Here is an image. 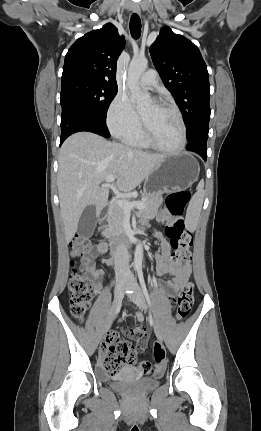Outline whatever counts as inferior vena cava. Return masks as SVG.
I'll list each match as a JSON object with an SVG mask.
<instances>
[{
	"label": "inferior vena cava",
	"instance_id": "obj_1",
	"mask_svg": "<svg viewBox=\"0 0 261 431\" xmlns=\"http://www.w3.org/2000/svg\"><path fill=\"white\" fill-rule=\"evenodd\" d=\"M116 260L120 263L115 268L117 277H125L128 274V250L124 243H119L115 253Z\"/></svg>",
	"mask_w": 261,
	"mask_h": 431
}]
</instances>
